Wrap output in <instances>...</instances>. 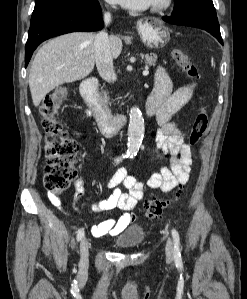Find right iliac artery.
<instances>
[{"label":"right iliac artery","instance_id":"right-iliac-artery-1","mask_svg":"<svg viewBox=\"0 0 247 299\" xmlns=\"http://www.w3.org/2000/svg\"><path fill=\"white\" fill-rule=\"evenodd\" d=\"M128 157V155H123L122 157H120V159ZM84 236V230L80 229L77 233V240L80 241L82 239V237Z\"/></svg>","mask_w":247,"mask_h":299}]
</instances>
